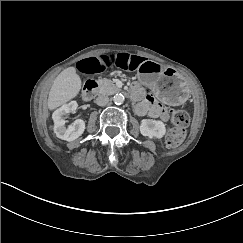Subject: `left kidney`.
<instances>
[{
	"label": "left kidney",
	"mask_w": 243,
	"mask_h": 243,
	"mask_svg": "<svg viewBox=\"0 0 243 243\" xmlns=\"http://www.w3.org/2000/svg\"><path fill=\"white\" fill-rule=\"evenodd\" d=\"M152 125V127H150ZM139 131L142 136L150 139H162L167 132L166 126L161 120L141 119Z\"/></svg>",
	"instance_id": "left-kidney-1"
}]
</instances>
